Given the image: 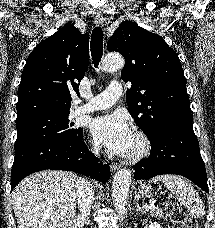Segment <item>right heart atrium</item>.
Returning <instances> with one entry per match:
<instances>
[{
    "label": "right heart atrium",
    "mask_w": 215,
    "mask_h": 228,
    "mask_svg": "<svg viewBox=\"0 0 215 228\" xmlns=\"http://www.w3.org/2000/svg\"><path fill=\"white\" fill-rule=\"evenodd\" d=\"M88 150H89L90 154L95 157H98L101 154L100 146L94 142H90V144L88 146Z\"/></svg>",
    "instance_id": "right-heart-atrium-1"
}]
</instances>
